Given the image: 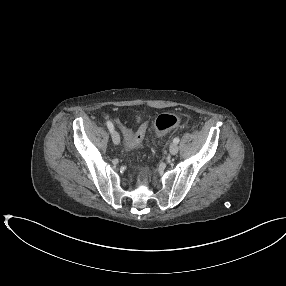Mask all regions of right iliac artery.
<instances>
[{
	"instance_id": "right-iliac-artery-1",
	"label": "right iliac artery",
	"mask_w": 286,
	"mask_h": 286,
	"mask_svg": "<svg viewBox=\"0 0 286 286\" xmlns=\"http://www.w3.org/2000/svg\"><path fill=\"white\" fill-rule=\"evenodd\" d=\"M106 125H107V127H108V129H109L110 132H113V131H114V126H113V124H112L111 121H107V122H106Z\"/></svg>"
}]
</instances>
